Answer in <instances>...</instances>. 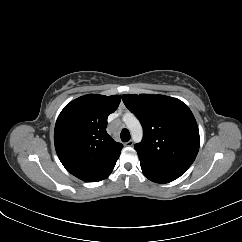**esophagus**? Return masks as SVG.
Segmentation results:
<instances>
[{
  "label": "esophagus",
  "instance_id": "1",
  "mask_svg": "<svg viewBox=\"0 0 242 242\" xmlns=\"http://www.w3.org/2000/svg\"><path fill=\"white\" fill-rule=\"evenodd\" d=\"M124 145L130 147L133 145V141L129 140L128 142L124 143Z\"/></svg>",
  "mask_w": 242,
  "mask_h": 242
}]
</instances>
